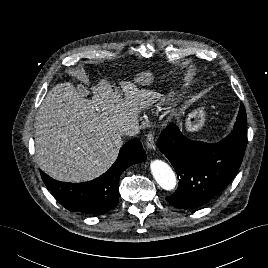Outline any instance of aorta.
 Here are the masks:
<instances>
[{
    "label": "aorta",
    "mask_w": 268,
    "mask_h": 268,
    "mask_svg": "<svg viewBox=\"0 0 268 268\" xmlns=\"http://www.w3.org/2000/svg\"><path fill=\"white\" fill-rule=\"evenodd\" d=\"M150 169L156 182L163 189L170 191L176 186V176L171 167L162 160H154L150 164Z\"/></svg>",
    "instance_id": "aorta-1"
}]
</instances>
